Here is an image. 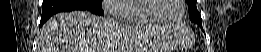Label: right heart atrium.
I'll use <instances>...</instances> for the list:
<instances>
[{
  "instance_id": "1",
  "label": "right heart atrium",
  "mask_w": 261,
  "mask_h": 52,
  "mask_svg": "<svg viewBox=\"0 0 261 52\" xmlns=\"http://www.w3.org/2000/svg\"><path fill=\"white\" fill-rule=\"evenodd\" d=\"M125 2L126 0H103L101 7L107 16L123 17L125 13L119 9V6Z\"/></svg>"
}]
</instances>
